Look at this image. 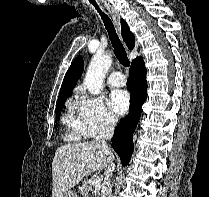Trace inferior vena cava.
Segmentation results:
<instances>
[{"mask_svg": "<svg viewBox=\"0 0 209 197\" xmlns=\"http://www.w3.org/2000/svg\"><path fill=\"white\" fill-rule=\"evenodd\" d=\"M117 123V118L111 114H106L104 123L99 130L96 141L104 144L107 148L106 140H110L114 134V128ZM109 150V149H108ZM115 164L113 159H109L107 168L104 172V182L101 190V197H111L110 182L114 171Z\"/></svg>", "mask_w": 209, "mask_h": 197, "instance_id": "1", "label": "inferior vena cava"}]
</instances>
